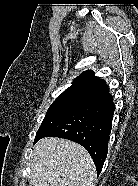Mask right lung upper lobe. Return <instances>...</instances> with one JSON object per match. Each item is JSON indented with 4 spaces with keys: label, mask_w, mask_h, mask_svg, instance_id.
<instances>
[{
    "label": "right lung upper lobe",
    "mask_w": 138,
    "mask_h": 186,
    "mask_svg": "<svg viewBox=\"0 0 138 186\" xmlns=\"http://www.w3.org/2000/svg\"><path fill=\"white\" fill-rule=\"evenodd\" d=\"M69 88H81L92 91L108 89L104 80L94 75L92 70H87L78 76Z\"/></svg>",
    "instance_id": "right-lung-upper-lobe-1"
}]
</instances>
